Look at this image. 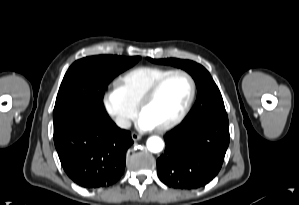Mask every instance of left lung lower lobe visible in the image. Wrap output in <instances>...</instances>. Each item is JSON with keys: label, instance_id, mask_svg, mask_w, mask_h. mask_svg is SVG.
<instances>
[{"label": "left lung lower lobe", "instance_id": "obj_1", "mask_svg": "<svg viewBox=\"0 0 299 205\" xmlns=\"http://www.w3.org/2000/svg\"><path fill=\"white\" fill-rule=\"evenodd\" d=\"M229 139L225 109L195 119L186 117L165 135L166 149L157 160L160 180L176 189L206 185L221 169Z\"/></svg>", "mask_w": 299, "mask_h": 205}]
</instances>
